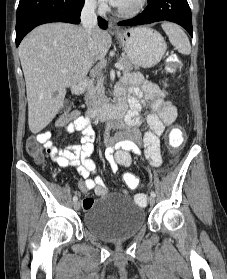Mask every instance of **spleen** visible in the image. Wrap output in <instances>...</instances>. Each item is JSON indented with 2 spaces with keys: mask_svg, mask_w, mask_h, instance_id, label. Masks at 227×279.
<instances>
[{
  "mask_svg": "<svg viewBox=\"0 0 227 279\" xmlns=\"http://www.w3.org/2000/svg\"><path fill=\"white\" fill-rule=\"evenodd\" d=\"M162 29L165 31L171 44L179 51V53L188 55L191 52V45L187 35L176 24L163 23Z\"/></svg>",
  "mask_w": 227,
  "mask_h": 279,
  "instance_id": "1",
  "label": "spleen"
}]
</instances>
